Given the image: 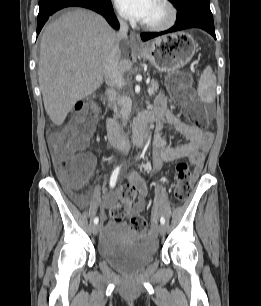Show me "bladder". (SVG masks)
<instances>
[{
	"instance_id": "1",
	"label": "bladder",
	"mask_w": 261,
	"mask_h": 306,
	"mask_svg": "<svg viewBox=\"0 0 261 306\" xmlns=\"http://www.w3.org/2000/svg\"><path fill=\"white\" fill-rule=\"evenodd\" d=\"M157 245L151 239L126 243L121 237L102 242L99 256L108 266L125 274H133L148 267L156 258Z\"/></svg>"
}]
</instances>
